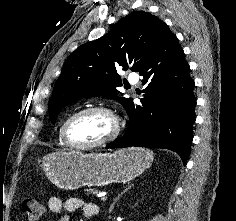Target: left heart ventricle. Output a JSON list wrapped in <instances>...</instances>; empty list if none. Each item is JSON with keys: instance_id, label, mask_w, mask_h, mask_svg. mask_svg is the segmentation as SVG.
Masks as SVG:
<instances>
[{"instance_id": "b2bd125f", "label": "left heart ventricle", "mask_w": 236, "mask_h": 221, "mask_svg": "<svg viewBox=\"0 0 236 221\" xmlns=\"http://www.w3.org/2000/svg\"><path fill=\"white\" fill-rule=\"evenodd\" d=\"M113 128V120L107 114L91 112L76 118L72 122L69 137L76 144H91L109 137Z\"/></svg>"}]
</instances>
